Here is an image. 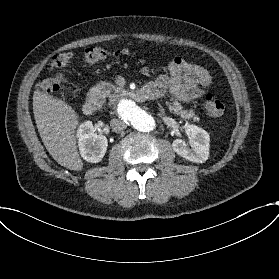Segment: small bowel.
Listing matches in <instances>:
<instances>
[{
    "mask_svg": "<svg viewBox=\"0 0 279 279\" xmlns=\"http://www.w3.org/2000/svg\"><path fill=\"white\" fill-rule=\"evenodd\" d=\"M142 71L153 77L152 82L140 91L144 98L149 99H160L168 94L190 102L201 97L204 93L202 88L211 82V75L204 67L182 58L173 60L165 74L155 75L148 67Z\"/></svg>",
    "mask_w": 279,
    "mask_h": 279,
    "instance_id": "1",
    "label": "small bowel"
}]
</instances>
